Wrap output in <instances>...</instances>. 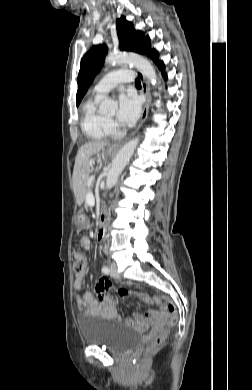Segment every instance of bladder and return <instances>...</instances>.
Listing matches in <instances>:
<instances>
[{"label": "bladder", "instance_id": "obj_1", "mask_svg": "<svg viewBox=\"0 0 252 390\" xmlns=\"http://www.w3.org/2000/svg\"><path fill=\"white\" fill-rule=\"evenodd\" d=\"M79 328L85 343L124 353L141 342V336L118 322L94 315L79 316Z\"/></svg>", "mask_w": 252, "mask_h": 390}]
</instances>
